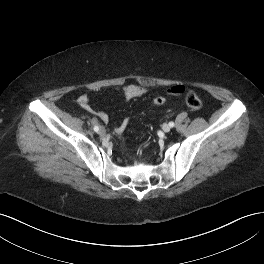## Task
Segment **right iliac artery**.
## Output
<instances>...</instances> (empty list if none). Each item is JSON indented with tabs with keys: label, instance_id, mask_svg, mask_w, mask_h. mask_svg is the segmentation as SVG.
<instances>
[{
	"label": "right iliac artery",
	"instance_id": "obj_1",
	"mask_svg": "<svg viewBox=\"0 0 264 264\" xmlns=\"http://www.w3.org/2000/svg\"><path fill=\"white\" fill-rule=\"evenodd\" d=\"M94 131L98 132L99 131V127L98 126H94Z\"/></svg>",
	"mask_w": 264,
	"mask_h": 264
}]
</instances>
